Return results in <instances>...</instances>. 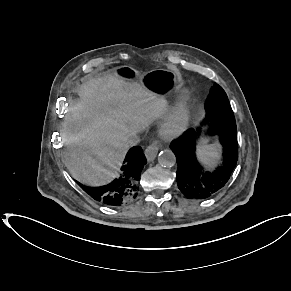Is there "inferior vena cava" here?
<instances>
[{
	"mask_svg": "<svg viewBox=\"0 0 291 291\" xmlns=\"http://www.w3.org/2000/svg\"><path fill=\"white\" fill-rule=\"evenodd\" d=\"M126 142L129 146H135L140 142V136L138 135V132H131L127 139Z\"/></svg>",
	"mask_w": 291,
	"mask_h": 291,
	"instance_id": "602c4592",
	"label": "inferior vena cava"
}]
</instances>
